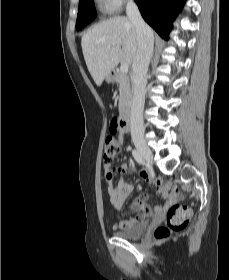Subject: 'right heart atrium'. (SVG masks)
<instances>
[{
	"label": "right heart atrium",
	"mask_w": 229,
	"mask_h": 280,
	"mask_svg": "<svg viewBox=\"0 0 229 280\" xmlns=\"http://www.w3.org/2000/svg\"><path fill=\"white\" fill-rule=\"evenodd\" d=\"M131 0H99V5L105 13H115L116 11L123 8Z\"/></svg>",
	"instance_id": "d8ad5b80"
}]
</instances>
